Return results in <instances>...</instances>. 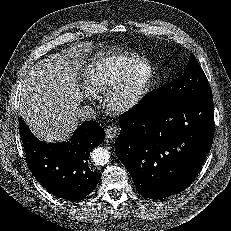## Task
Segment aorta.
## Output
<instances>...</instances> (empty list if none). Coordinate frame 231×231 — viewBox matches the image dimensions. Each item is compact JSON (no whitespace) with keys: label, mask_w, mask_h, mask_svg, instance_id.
Returning a JSON list of instances; mask_svg holds the SVG:
<instances>
[{"label":"aorta","mask_w":231,"mask_h":231,"mask_svg":"<svg viewBox=\"0 0 231 231\" xmlns=\"http://www.w3.org/2000/svg\"><path fill=\"white\" fill-rule=\"evenodd\" d=\"M91 158L96 165L103 166L109 162L110 152L103 147H98L91 153Z\"/></svg>","instance_id":"762f6f07"}]
</instances>
